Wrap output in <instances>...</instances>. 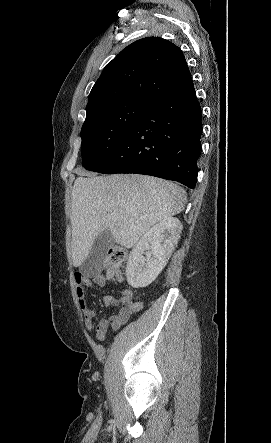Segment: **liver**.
I'll return each instance as SVG.
<instances>
[{
	"instance_id": "1",
	"label": "liver",
	"mask_w": 271,
	"mask_h": 443,
	"mask_svg": "<svg viewBox=\"0 0 271 443\" xmlns=\"http://www.w3.org/2000/svg\"><path fill=\"white\" fill-rule=\"evenodd\" d=\"M185 200L183 188L161 178L80 172L71 200L73 265L85 261L104 229L120 245L133 247L152 225L180 214Z\"/></svg>"
}]
</instances>
